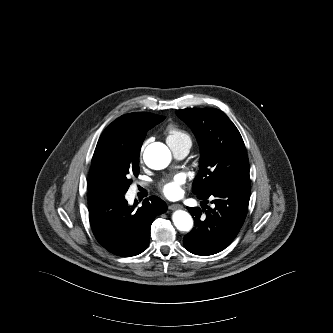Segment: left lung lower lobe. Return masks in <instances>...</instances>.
Segmentation results:
<instances>
[{
	"instance_id": "1",
	"label": "left lung lower lobe",
	"mask_w": 333,
	"mask_h": 333,
	"mask_svg": "<svg viewBox=\"0 0 333 333\" xmlns=\"http://www.w3.org/2000/svg\"><path fill=\"white\" fill-rule=\"evenodd\" d=\"M197 197L203 202H208L210 197L215 206L209 210L187 207L194 218L195 228L185 235L184 246L196 255L216 254L234 240L245 220L250 199V181L224 185ZM204 211L205 216L202 214Z\"/></svg>"
}]
</instances>
